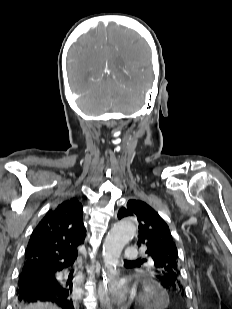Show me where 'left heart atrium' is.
<instances>
[{"mask_svg":"<svg viewBox=\"0 0 232 309\" xmlns=\"http://www.w3.org/2000/svg\"><path fill=\"white\" fill-rule=\"evenodd\" d=\"M127 295L128 291L120 284H113L110 286L109 290H107V298L118 304L123 303L126 300Z\"/></svg>","mask_w":232,"mask_h":309,"instance_id":"1","label":"left heart atrium"}]
</instances>
